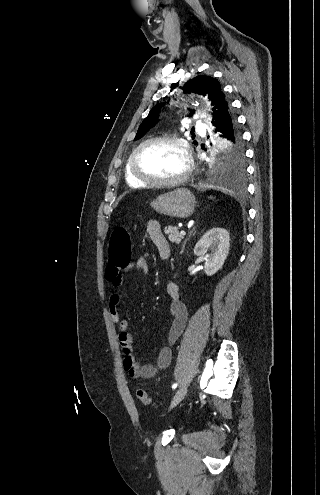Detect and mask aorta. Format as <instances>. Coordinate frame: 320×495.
Masks as SVG:
<instances>
[{"instance_id":"aorta-1","label":"aorta","mask_w":320,"mask_h":495,"mask_svg":"<svg viewBox=\"0 0 320 495\" xmlns=\"http://www.w3.org/2000/svg\"><path fill=\"white\" fill-rule=\"evenodd\" d=\"M216 181L225 183V181L223 179H221V178H216Z\"/></svg>"}]
</instances>
